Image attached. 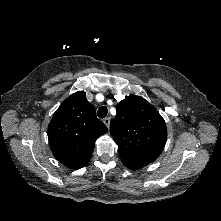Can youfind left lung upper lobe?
<instances>
[{
    "mask_svg": "<svg viewBox=\"0 0 221 221\" xmlns=\"http://www.w3.org/2000/svg\"><path fill=\"white\" fill-rule=\"evenodd\" d=\"M116 110L110 133L123 164L135 170L157 159L167 139L166 124L159 112L136 95L120 101Z\"/></svg>",
    "mask_w": 221,
    "mask_h": 221,
    "instance_id": "left-lung-upper-lobe-1",
    "label": "left lung upper lobe"
}]
</instances>
